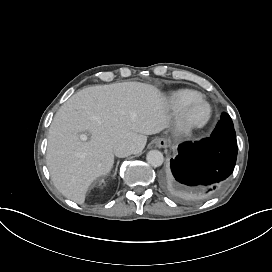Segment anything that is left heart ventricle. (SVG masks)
Returning <instances> with one entry per match:
<instances>
[{
  "instance_id": "b2bd125f",
  "label": "left heart ventricle",
  "mask_w": 272,
  "mask_h": 272,
  "mask_svg": "<svg viewBox=\"0 0 272 272\" xmlns=\"http://www.w3.org/2000/svg\"><path fill=\"white\" fill-rule=\"evenodd\" d=\"M209 115V109L204 101H196L187 110L188 119L193 123H203Z\"/></svg>"
}]
</instances>
